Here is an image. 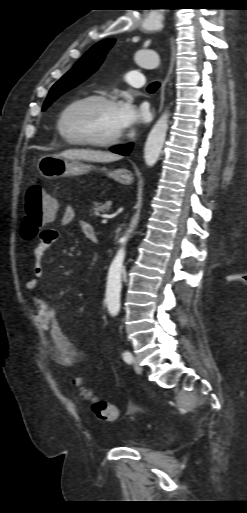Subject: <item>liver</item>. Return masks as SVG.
I'll list each match as a JSON object with an SVG mask.
<instances>
[{
    "instance_id": "obj_1",
    "label": "liver",
    "mask_w": 247,
    "mask_h": 513,
    "mask_svg": "<svg viewBox=\"0 0 247 513\" xmlns=\"http://www.w3.org/2000/svg\"><path fill=\"white\" fill-rule=\"evenodd\" d=\"M67 159H83L87 161L112 162L121 159V156L111 152H102L91 149H71L60 153Z\"/></svg>"
}]
</instances>
